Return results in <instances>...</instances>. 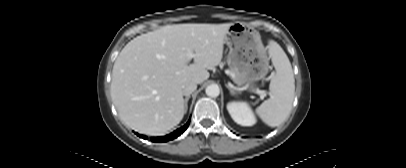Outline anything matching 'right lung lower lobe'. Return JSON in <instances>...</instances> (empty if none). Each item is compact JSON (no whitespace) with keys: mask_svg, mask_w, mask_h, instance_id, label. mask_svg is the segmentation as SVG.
Segmentation results:
<instances>
[{"mask_svg":"<svg viewBox=\"0 0 406 168\" xmlns=\"http://www.w3.org/2000/svg\"><path fill=\"white\" fill-rule=\"evenodd\" d=\"M189 122H190V120L184 126H182L181 128H178L177 130H175L171 134H168V135L162 136V137L153 138V141L154 142H167V141H170V140H173V139L177 138L178 136H180L188 128ZM137 135L139 137L143 138V139H147V136H143V135H140V134H137Z\"/></svg>","mask_w":406,"mask_h":168,"instance_id":"obj_1","label":"right lung lower lobe"}]
</instances>
